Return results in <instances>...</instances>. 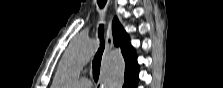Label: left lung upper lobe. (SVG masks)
Returning a JSON list of instances; mask_svg holds the SVG:
<instances>
[{
    "label": "left lung upper lobe",
    "instance_id": "5c2ea615",
    "mask_svg": "<svg viewBox=\"0 0 223 88\" xmlns=\"http://www.w3.org/2000/svg\"><path fill=\"white\" fill-rule=\"evenodd\" d=\"M113 38L115 46H119L127 66L137 65L135 51L129 43L128 35L115 17L112 24Z\"/></svg>",
    "mask_w": 223,
    "mask_h": 88
}]
</instances>
